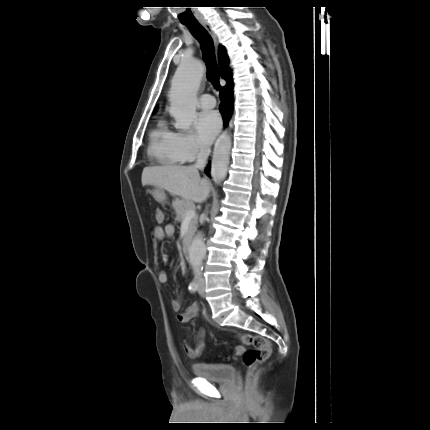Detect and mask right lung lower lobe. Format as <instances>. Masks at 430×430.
<instances>
[{
	"label": "right lung lower lobe",
	"mask_w": 430,
	"mask_h": 430,
	"mask_svg": "<svg viewBox=\"0 0 430 430\" xmlns=\"http://www.w3.org/2000/svg\"><path fill=\"white\" fill-rule=\"evenodd\" d=\"M221 104L220 112H222L224 124H227L233 110V84L221 89L220 93ZM209 166L205 169V173L209 176Z\"/></svg>",
	"instance_id": "1"
}]
</instances>
